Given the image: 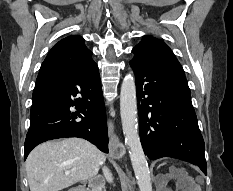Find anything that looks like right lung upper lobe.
Segmentation results:
<instances>
[{
  "label": "right lung upper lobe",
  "instance_id": "right-lung-upper-lobe-1",
  "mask_svg": "<svg viewBox=\"0 0 233 191\" xmlns=\"http://www.w3.org/2000/svg\"><path fill=\"white\" fill-rule=\"evenodd\" d=\"M92 52L85 46L81 36H69L50 50L44 60L39 74L46 72H79L94 61L91 58Z\"/></svg>",
  "mask_w": 233,
  "mask_h": 191
}]
</instances>
